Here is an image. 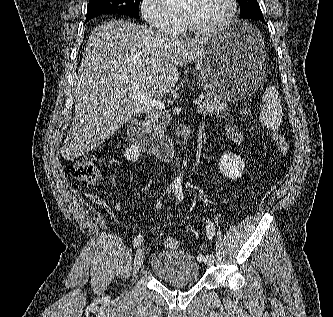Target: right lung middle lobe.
<instances>
[{"instance_id":"dd1d6c3e","label":"right lung middle lobe","mask_w":333,"mask_h":317,"mask_svg":"<svg viewBox=\"0 0 333 317\" xmlns=\"http://www.w3.org/2000/svg\"><path fill=\"white\" fill-rule=\"evenodd\" d=\"M140 0H90L86 21L102 14L116 13L139 18Z\"/></svg>"}]
</instances>
